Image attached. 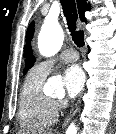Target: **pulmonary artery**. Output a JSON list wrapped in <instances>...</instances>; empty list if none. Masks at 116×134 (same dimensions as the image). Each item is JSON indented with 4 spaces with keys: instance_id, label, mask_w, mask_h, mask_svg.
Here are the masks:
<instances>
[{
    "instance_id": "e3ab8cb5",
    "label": "pulmonary artery",
    "mask_w": 116,
    "mask_h": 134,
    "mask_svg": "<svg viewBox=\"0 0 116 134\" xmlns=\"http://www.w3.org/2000/svg\"><path fill=\"white\" fill-rule=\"evenodd\" d=\"M78 57H79V55H78L77 51L74 49H66V50L62 51L59 55V59L66 61V62H74L78 59ZM54 63H55V59H53V58L46 59V60L39 62L35 66V68L39 72L47 75L51 71Z\"/></svg>"
}]
</instances>
